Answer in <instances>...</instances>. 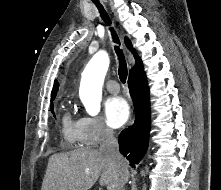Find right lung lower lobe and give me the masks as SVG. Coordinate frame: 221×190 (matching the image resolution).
<instances>
[{"label": "right lung lower lobe", "instance_id": "98d812e1", "mask_svg": "<svg viewBox=\"0 0 221 190\" xmlns=\"http://www.w3.org/2000/svg\"><path fill=\"white\" fill-rule=\"evenodd\" d=\"M128 87L135 108V122L118 138L120 152L135 167L146 153L150 130L149 88L145 74L129 77Z\"/></svg>", "mask_w": 221, "mask_h": 190}]
</instances>
